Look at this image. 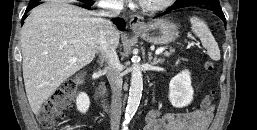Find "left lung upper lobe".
I'll return each instance as SVG.
<instances>
[{
	"label": "left lung upper lobe",
	"mask_w": 257,
	"mask_h": 130,
	"mask_svg": "<svg viewBox=\"0 0 257 130\" xmlns=\"http://www.w3.org/2000/svg\"><path fill=\"white\" fill-rule=\"evenodd\" d=\"M198 0H177L174 4L176 5H187V4H197Z\"/></svg>",
	"instance_id": "5c2ea615"
}]
</instances>
